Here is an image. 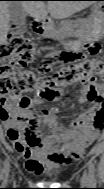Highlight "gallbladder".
I'll use <instances>...</instances> for the list:
<instances>
[{"mask_svg": "<svg viewBox=\"0 0 104 189\" xmlns=\"http://www.w3.org/2000/svg\"><path fill=\"white\" fill-rule=\"evenodd\" d=\"M20 2H13L9 4V12H10V19L12 23L16 26L15 30L17 34H24L27 30L26 23H25V12L22 6L19 4Z\"/></svg>", "mask_w": 104, "mask_h": 189, "instance_id": "bac80fb5", "label": "gallbladder"}]
</instances>
